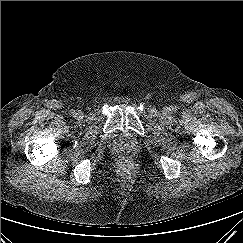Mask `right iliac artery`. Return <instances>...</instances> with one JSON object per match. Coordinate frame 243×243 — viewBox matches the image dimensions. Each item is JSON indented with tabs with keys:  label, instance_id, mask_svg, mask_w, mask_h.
<instances>
[{
	"label": "right iliac artery",
	"instance_id": "82829eb1",
	"mask_svg": "<svg viewBox=\"0 0 243 243\" xmlns=\"http://www.w3.org/2000/svg\"><path fill=\"white\" fill-rule=\"evenodd\" d=\"M70 114H71V115H73V116H75L76 111H75V110H73V109H71V110H70Z\"/></svg>",
	"mask_w": 243,
	"mask_h": 243
}]
</instances>
